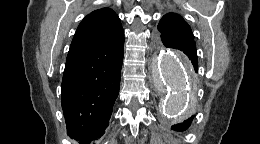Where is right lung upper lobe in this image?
Segmentation results:
<instances>
[{
	"label": "right lung upper lobe",
	"instance_id": "right-lung-upper-lobe-1",
	"mask_svg": "<svg viewBox=\"0 0 260 144\" xmlns=\"http://www.w3.org/2000/svg\"><path fill=\"white\" fill-rule=\"evenodd\" d=\"M124 36L118 15L110 8L88 14L78 26L70 51L116 41Z\"/></svg>",
	"mask_w": 260,
	"mask_h": 144
}]
</instances>
